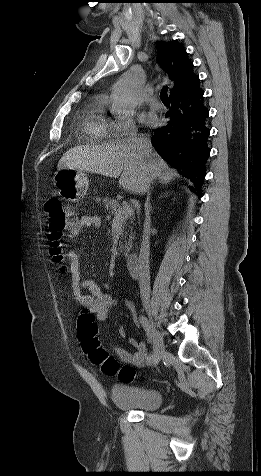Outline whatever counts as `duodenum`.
Returning <instances> with one entry per match:
<instances>
[{"label": "duodenum", "mask_w": 261, "mask_h": 476, "mask_svg": "<svg viewBox=\"0 0 261 476\" xmlns=\"http://www.w3.org/2000/svg\"><path fill=\"white\" fill-rule=\"evenodd\" d=\"M126 267L131 277L137 278L140 273V259L138 254H130L126 259Z\"/></svg>", "instance_id": "duodenum-1"}]
</instances>
